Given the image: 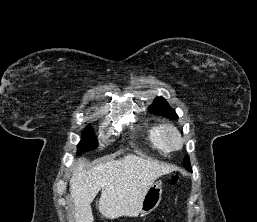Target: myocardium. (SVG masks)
<instances>
[{"mask_svg":"<svg viewBox=\"0 0 257 222\" xmlns=\"http://www.w3.org/2000/svg\"><path fill=\"white\" fill-rule=\"evenodd\" d=\"M161 137L163 143L169 150H178L183 146L182 135L178 128L172 124H165L162 126Z\"/></svg>","mask_w":257,"mask_h":222,"instance_id":"f54148a6","label":"myocardium"}]
</instances>
